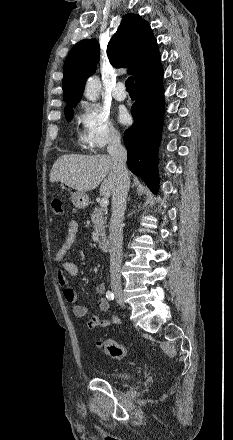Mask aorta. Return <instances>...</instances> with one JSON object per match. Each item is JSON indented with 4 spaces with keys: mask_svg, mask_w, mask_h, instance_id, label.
<instances>
[{
    "mask_svg": "<svg viewBox=\"0 0 233 440\" xmlns=\"http://www.w3.org/2000/svg\"><path fill=\"white\" fill-rule=\"evenodd\" d=\"M100 90L101 82L97 77L93 76L86 83L84 95L88 100L95 101L99 97Z\"/></svg>",
    "mask_w": 233,
    "mask_h": 440,
    "instance_id": "obj_1",
    "label": "aorta"
}]
</instances>
